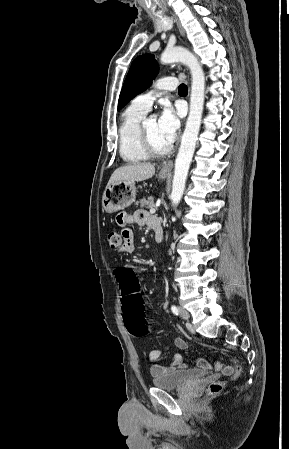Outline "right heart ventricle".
Returning a JSON list of instances; mask_svg holds the SVG:
<instances>
[{"label":"right heart ventricle","instance_id":"obj_1","mask_svg":"<svg viewBox=\"0 0 289 449\" xmlns=\"http://www.w3.org/2000/svg\"><path fill=\"white\" fill-rule=\"evenodd\" d=\"M146 112L131 104L122 114L118 130L119 152L126 162L135 163L148 158L140 140V126Z\"/></svg>","mask_w":289,"mask_h":449}]
</instances>
